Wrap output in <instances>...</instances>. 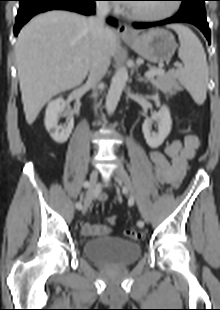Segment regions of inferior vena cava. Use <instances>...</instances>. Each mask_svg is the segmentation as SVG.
I'll return each mask as SVG.
<instances>
[{"instance_id":"obj_1","label":"inferior vena cava","mask_w":220,"mask_h":310,"mask_svg":"<svg viewBox=\"0 0 220 310\" xmlns=\"http://www.w3.org/2000/svg\"><path fill=\"white\" fill-rule=\"evenodd\" d=\"M109 11L110 7L108 3L97 1L96 15L88 19L92 34L88 84L93 90L96 89L110 65V56L107 46L108 29L105 27V17L108 15Z\"/></svg>"}]
</instances>
